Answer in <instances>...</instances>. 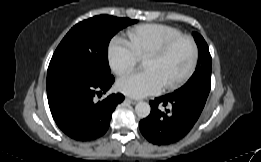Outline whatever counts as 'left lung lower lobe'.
Segmentation results:
<instances>
[{"label": "left lung lower lobe", "instance_id": "left-lung-lower-lobe-1", "mask_svg": "<svg viewBox=\"0 0 261 162\" xmlns=\"http://www.w3.org/2000/svg\"><path fill=\"white\" fill-rule=\"evenodd\" d=\"M209 92L199 88L178 89L174 93L150 101L151 113L141 120L139 128L151 143L168 145L182 139L197 122ZM172 105L162 111L159 104Z\"/></svg>", "mask_w": 261, "mask_h": 162}]
</instances>
